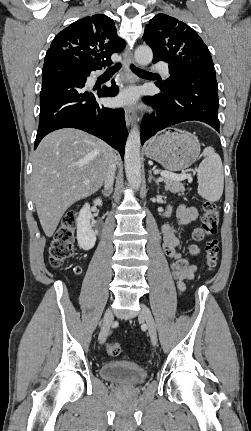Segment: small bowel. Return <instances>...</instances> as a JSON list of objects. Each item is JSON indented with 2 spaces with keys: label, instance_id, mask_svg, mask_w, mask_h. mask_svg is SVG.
<instances>
[{
  "label": "small bowel",
  "instance_id": "c3829d8e",
  "mask_svg": "<svg viewBox=\"0 0 251 431\" xmlns=\"http://www.w3.org/2000/svg\"><path fill=\"white\" fill-rule=\"evenodd\" d=\"M173 212V208L168 206L164 215L165 217H170ZM176 216L181 225L187 226L194 222L198 217V211L194 207H188L186 205H179L176 208ZM163 233V251L167 258L171 261V276L176 282L180 290H184L186 284L191 281L197 271L198 266L195 264H189L188 261L182 258L181 254L178 252L177 248L180 244V239L174 233L171 225L169 223H164L162 226ZM205 234L202 228H195L192 233V237L196 241H201ZM188 252L192 257H198L201 254V248L198 244H191L188 247ZM76 274L82 272L81 267H76L74 269Z\"/></svg>",
  "mask_w": 251,
  "mask_h": 431
}]
</instances>
